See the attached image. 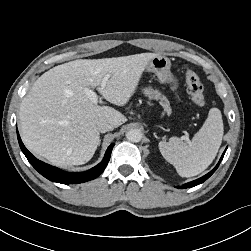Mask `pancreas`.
Returning <instances> with one entry per match:
<instances>
[{"label": "pancreas", "instance_id": "obj_1", "mask_svg": "<svg viewBox=\"0 0 251 251\" xmlns=\"http://www.w3.org/2000/svg\"><path fill=\"white\" fill-rule=\"evenodd\" d=\"M142 92L145 96H147L150 100H160V104L163 106L165 112L168 114L171 113L170 103L168 99L161 95V93L158 90H154L151 87H146L142 89Z\"/></svg>", "mask_w": 251, "mask_h": 251}]
</instances>
